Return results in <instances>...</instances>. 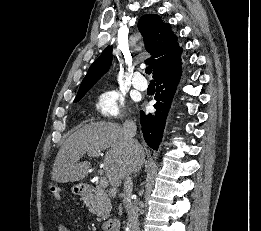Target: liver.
<instances>
[{"instance_id": "6515ba94", "label": "liver", "mask_w": 261, "mask_h": 231, "mask_svg": "<svg viewBox=\"0 0 261 231\" xmlns=\"http://www.w3.org/2000/svg\"><path fill=\"white\" fill-rule=\"evenodd\" d=\"M142 148V147H141ZM107 150L103 170L111 186L117 187L127 171L138 172L143 166L145 153L133 160L125 143L123 128L116 123L96 122L85 125L68 137L54 161L52 180L59 183L84 179L91 168L90 162H79L84 154Z\"/></svg>"}]
</instances>
